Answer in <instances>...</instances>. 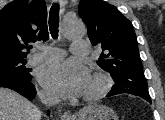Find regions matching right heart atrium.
Instances as JSON below:
<instances>
[{
  "instance_id": "d8ad5b80",
  "label": "right heart atrium",
  "mask_w": 165,
  "mask_h": 120,
  "mask_svg": "<svg viewBox=\"0 0 165 120\" xmlns=\"http://www.w3.org/2000/svg\"><path fill=\"white\" fill-rule=\"evenodd\" d=\"M43 96L49 98L50 96L47 93H43Z\"/></svg>"
}]
</instances>
